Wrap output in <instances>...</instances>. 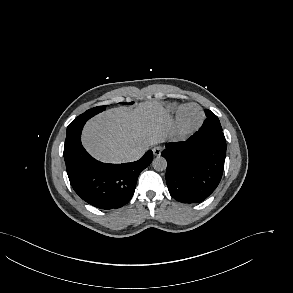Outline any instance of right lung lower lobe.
<instances>
[{"label":"right lung lower lobe","mask_w":293,"mask_h":293,"mask_svg":"<svg viewBox=\"0 0 293 293\" xmlns=\"http://www.w3.org/2000/svg\"><path fill=\"white\" fill-rule=\"evenodd\" d=\"M90 117H77L67 128L64 160L74 191L87 203L100 209H117L130 201L137 178L150 165L152 151L136 162L106 164L95 160L81 143L83 125Z\"/></svg>","instance_id":"98d812e1"}]
</instances>
